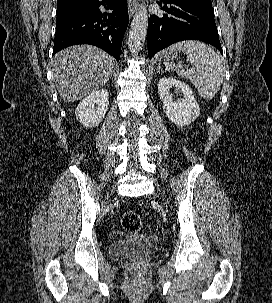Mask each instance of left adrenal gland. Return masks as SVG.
<instances>
[{"mask_svg":"<svg viewBox=\"0 0 272 303\" xmlns=\"http://www.w3.org/2000/svg\"><path fill=\"white\" fill-rule=\"evenodd\" d=\"M157 73H160V67H158Z\"/></svg>","mask_w":272,"mask_h":303,"instance_id":"a2214340","label":"left adrenal gland"}]
</instances>
